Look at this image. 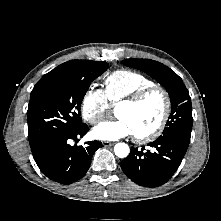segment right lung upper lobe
<instances>
[{
  "instance_id": "right-lung-upper-lobe-1",
  "label": "right lung upper lobe",
  "mask_w": 221,
  "mask_h": 221,
  "mask_svg": "<svg viewBox=\"0 0 221 221\" xmlns=\"http://www.w3.org/2000/svg\"><path fill=\"white\" fill-rule=\"evenodd\" d=\"M64 67H65V63L59 65L58 67H56L55 69H53L52 71H50L49 73H47L44 76H49V75L59 73V72L63 71Z\"/></svg>"
}]
</instances>
